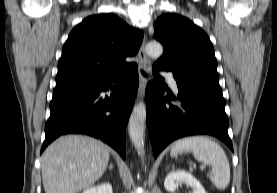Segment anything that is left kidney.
Instances as JSON below:
<instances>
[{
    "label": "left kidney",
    "instance_id": "left-kidney-1",
    "mask_svg": "<svg viewBox=\"0 0 277 193\" xmlns=\"http://www.w3.org/2000/svg\"><path fill=\"white\" fill-rule=\"evenodd\" d=\"M182 183L190 186L193 190L192 193H207L192 174L183 170L172 171L167 174L164 180V187L168 192H175Z\"/></svg>",
    "mask_w": 277,
    "mask_h": 193
}]
</instances>
